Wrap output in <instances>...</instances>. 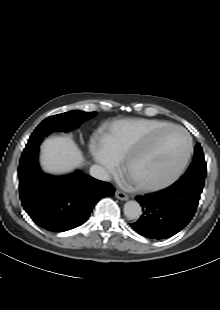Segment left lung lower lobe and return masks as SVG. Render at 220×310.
<instances>
[{"label":"left lung lower lobe","instance_id":"1","mask_svg":"<svg viewBox=\"0 0 220 310\" xmlns=\"http://www.w3.org/2000/svg\"><path fill=\"white\" fill-rule=\"evenodd\" d=\"M203 186L195 182L177 181L159 192L136 197L143 214L131 224L132 228L151 239L175 235L193 218Z\"/></svg>","mask_w":220,"mask_h":310}]
</instances>
